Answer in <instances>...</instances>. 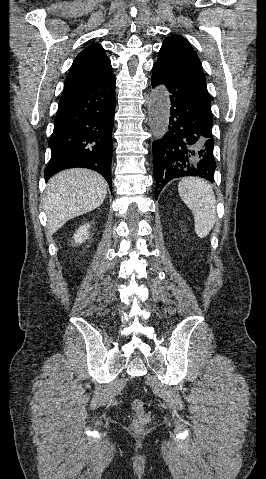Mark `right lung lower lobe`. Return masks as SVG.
<instances>
[{
  "label": "right lung lower lobe",
  "instance_id": "right-lung-lower-lobe-1",
  "mask_svg": "<svg viewBox=\"0 0 266 479\" xmlns=\"http://www.w3.org/2000/svg\"><path fill=\"white\" fill-rule=\"evenodd\" d=\"M116 105L115 76L81 85L64 86L54 131L46 182L74 167L95 170L111 188L112 131Z\"/></svg>",
  "mask_w": 266,
  "mask_h": 479
}]
</instances>
